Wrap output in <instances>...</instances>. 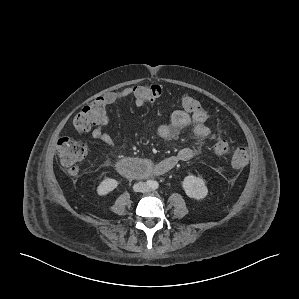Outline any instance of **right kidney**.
<instances>
[{
  "label": "right kidney",
  "instance_id": "obj_1",
  "mask_svg": "<svg viewBox=\"0 0 299 299\" xmlns=\"http://www.w3.org/2000/svg\"><path fill=\"white\" fill-rule=\"evenodd\" d=\"M118 181L113 178H105L100 184L97 186V194L100 196H105L108 193L112 192L117 186Z\"/></svg>",
  "mask_w": 299,
  "mask_h": 299
}]
</instances>
